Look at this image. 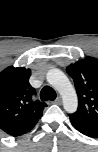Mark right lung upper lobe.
Instances as JSON below:
<instances>
[{"mask_svg":"<svg viewBox=\"0 0 98 152\" xmlns=\"http://www.w3.org/2000/svg\"><path fill=\"white\" fill-rule=\"evenodd\" d=\"M31 70L10 66L0 73V129L11 136L30 131L42 116L46 103L34 100Z\"/></svg>","mask_w":98,"mask_h":152,"instance_id":"1","label":"right lung upper lobe"}]
</instances>
